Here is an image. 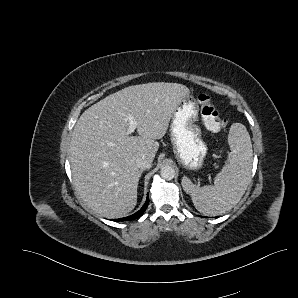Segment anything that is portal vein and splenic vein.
I'll return each instance as SVG.
<instances>
[{"instance_id": "1", "label": "portal vein and splenic vein", "mask_w": 298, "mask_h": 298, "mask_svg": "<svg viewBox=\"0 0 298 298\" xmlns=\"http://www.w3.org/2000/svg\"><path fill=\"white\" fill-rule=\"evenodd\" d=\"M124 118L129 123L125 136L130 137L136 128V119L133 113L124 114Z\"/></svg>"}]
</instances>
